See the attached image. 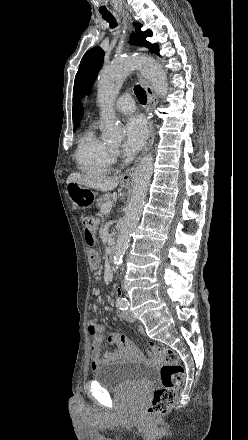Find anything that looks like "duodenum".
<instances>
[{"label":"duodenum","instance_id":"obj_1","mask_svg":"<svg viewBox=\"0 0 248 440\" xmlns=\"http://www.w3.org/2000/svg\"><path fill=\"white\" fill-rule=\"evenodd\" d=\"M114 252H115V242L112 241V242L110 243L109 250H108V254H107V255H108V263H109V264L111 263V261H112V259H113Z\"/></svg>","mask_w":248,"mask_h":440}]
</instances>
